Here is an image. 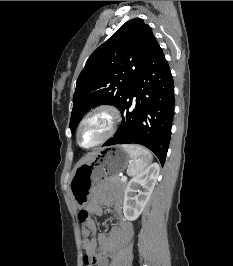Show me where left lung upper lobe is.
<instances>
[{"label":"left lung upper lobe","instance_id":"obj_1","mask_svg":"<svg viewBox=\"0 0 233 266\" xmlns=\"http://www.w3.org/2000/svg\"><path fill=\"white\" fill-rule=\"evenodd\" d=\"M158 45L150 26L135 18L91 54L76 83L70 119L72 133L90 108L100 104L122 106Z\"/></svg>","mask_w":233,"mask_h":266}]
</instances>
